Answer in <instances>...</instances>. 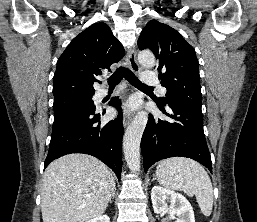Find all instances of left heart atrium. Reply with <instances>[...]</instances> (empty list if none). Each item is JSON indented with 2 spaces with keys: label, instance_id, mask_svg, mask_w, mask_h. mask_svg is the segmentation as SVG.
Masks as SVG:
<instances>
[{
  "label": "left heart atrium",
  "instance_id": "left-heart-atrium-1",
  "mask_svg": "<svg viewBox=\"0 0 257 222\" xmlns=\"http://www.w3.org/2000/svg\"><path fill=\"white\" fill-rule=\"evenodd\" d=\"M136 105H137V104H136V102H135L134 100H130V101H128V102L124 105V111L129 112V111L135 109V108H136Z\"/></svg>",
  "mask_w": 257,
  "mask_h": 222
}]
</instances>
